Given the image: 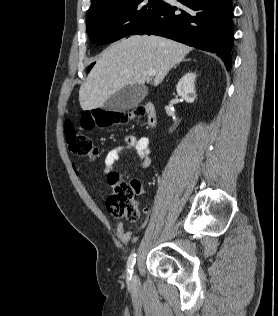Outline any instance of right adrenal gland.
Instances as JSON below:
<instances>
[{
  "mask_svg": "<svg viewBox=\"0 0 278 316\" xmlns=\"http://www.w3.org/2000/svg\"><path fill=\"white\" fill-rule=\"evenodd\" d=\"M191 59H185V60H183L184 62L185 61H190ZM179 65V63L174 67V69L177 67Z\"/></svg>",
  "mask_w": 278,
  "mask_h": 316,
  "instance_id": "2a0ac1e0",
  "label": "right adrenal gland"
}]
</instances>
